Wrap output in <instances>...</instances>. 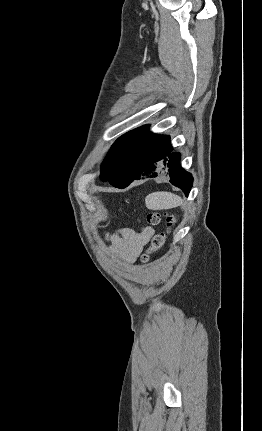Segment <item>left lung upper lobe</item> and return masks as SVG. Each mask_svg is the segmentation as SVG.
Wrapping results in <instances>:
<instances>
[{"label":"left lung upper lobe","mask_w":262,"mask_h":431,"mask_svg":"<svg viewBox=\"0 0 262 431\" xmlns=\"http://www.w3.org/2000/svg\"><path fill=\"white\" fill-rule=\"evenodd\" d=\"M156 137L148 131L147 126H142L118 138L101 165V180L114 187L126 183L131 177L130 165L136 153L147 141Z\"/></svg>","instance_id":"5c2ea615"}]
</instances>
